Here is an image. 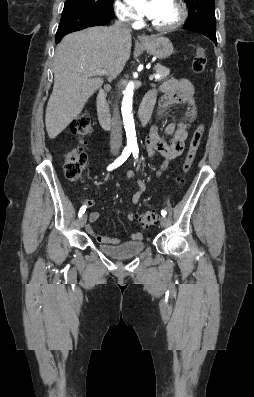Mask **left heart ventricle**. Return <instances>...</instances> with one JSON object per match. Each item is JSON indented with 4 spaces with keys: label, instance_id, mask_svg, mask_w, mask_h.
Here are the masks:
<instances>
[{
    "label": "left heart ventricle",
    "instance_id": "b2bd125f",
    "mask_svg": "<svg viewBox=\"0 0 254 397\" xmlns=\"http://www.w3.org/2000/svg\"><path fill=\"white\" fill-rule=\"evenodd\" d=\"M179 9L173 0H162L151 20L157 25H169L177 20Z\"/></svg>",
    "mask_w": 254,
    "mask_h": 397
}]
</instances>
